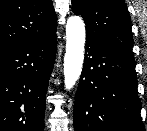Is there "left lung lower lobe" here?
<instances>
[{
  "label": "left lung lower lobe",
  "mask_w": 147,
  "mask_h": 131,
  "mask_svg": "<svg viewBox=\"0 0 147 131\" xmlns=\"http://www.w3.org/2000/svg\"><path fill=\"white\" fill-rule=\"evenodd\" d=\"M133 57L86 39L74 104L75 131H145Z\"/></svg>",
  "instance_id": "0a47b994"
}]
</instances>
